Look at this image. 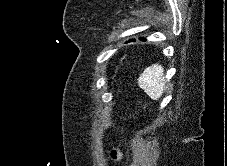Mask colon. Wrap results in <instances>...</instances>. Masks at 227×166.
<instances>
[{"mask_svg": "<svg viewBox=\"0 0 227 166\" xmlns=\"http://www.w3.org/2000/svg\"><path fill=\"white\" fill-rule=\"evenodd\" d=\"M110 156L113 158V159H118L120 157V151L118 149H112L110 151Z\"/></svg>", "mask_w": 227, "mask_h": 166, "instance_id": "1", "label": "colon"}]
</instances>
